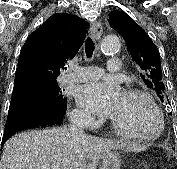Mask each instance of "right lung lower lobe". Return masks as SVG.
<instances>
[{"mask_svg": "<svg viewBox=\"0 0 177 169\" xmlns=\"http://www.w3.org/2000/svg\"><path fill=\"white\" fill-rule=\"evenodd\" d=\"M41 81L30 77L15 79L2 145L18 131L62 124L67 101L65 99L63 105L56 106L41 97H34V88Z\"/></svg>", "mask_w": 177, "mask_h": 169, "instance_id": "right-lung-lower-lobe-1", "label": "right lung lower lobe"}]
</instances>
